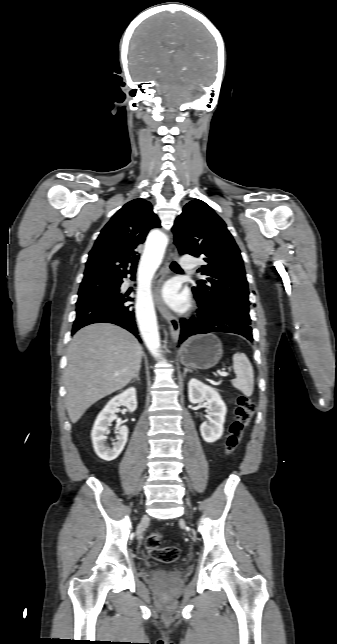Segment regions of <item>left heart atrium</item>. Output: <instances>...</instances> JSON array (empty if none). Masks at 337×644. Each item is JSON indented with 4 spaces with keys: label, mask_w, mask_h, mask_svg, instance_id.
<instances>
[{
    "label": "left heart atrium",
    "mask_w": 337,
    "mask_h": 644,
    "mask_svg": "<svg viewBox=\"0 0 337 644\" xmlns=\"http://www.w3.org/2000/svg\"><path fill=\"white\" fill-rule=\"evenodd\" d=\"M163 296L168 304L177 310H183L187 305V296L179 293L175 283H168L164 290Z\"/></svg>",
    "instance_id": "39dd6f15"
}]
</instances>
